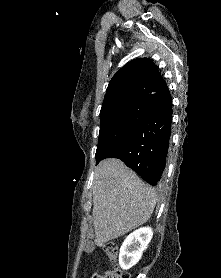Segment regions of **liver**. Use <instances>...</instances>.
Returning a JSON list of instances; mask_svg holds the SVG:
<instances>
[{
  "label": "liver",
  "mask_w": 221,
  "mask_h": 278,
  "mask_svg": "<svg viewBox=\"0 0 221 278\" xmlns=\"http://www.w3.org/2000/svg\"><path fill=\"white\" fill-rule=\"evenodd\" d=\"M94 176V244L102 246L146 223L154 211L156 193L119 159L101 161Z\"/></svg>",
  "instance_id": "obj_1"
}]
</instances>
